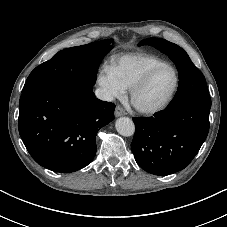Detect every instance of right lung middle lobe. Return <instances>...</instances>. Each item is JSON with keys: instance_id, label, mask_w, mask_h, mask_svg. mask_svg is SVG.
Segmentation results:
<instances>
[{"instance_id": "dd1d6c3e", "label": "right lung middle lobe", "mask_w": 227, "mask_h": 227, "mask_svg": "<svg viewBox=\"0 0 227 227\" xmlns=\"http://www.w3.org/2000/svg\"><path fill=\"white\" fill-rule=\"evenodd\" d=\"M113 40H103L71 47L55 54L29 75L22 93L57 83H80L93 86L104 56L112 49Z\"/></svg>"}]
</instances>
